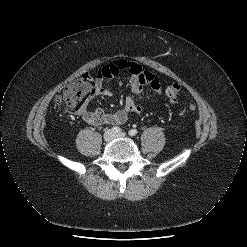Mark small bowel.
Masks as SVG:
<instances>
[{
	"mask_svg": "<svg viewBox=\"0 0 247 247\" xmlns=\"http://www.w3.org/2000/svg\"><path fill=\"white\" fill-rule=\"evenodd\" d=\"M121 71H127L130 74L129 82L132 92L125 98L124 109L114 113H106L101 108L86 111L82 115V119L86 123L93 126L122 124L128 119L129 115L141 113L142 107L136 102L135 96L142 92L145 87L151 88L157 95L163 94L164 87L160 80L146 71L140 64L133 61L116 60L105 63L100 67L95 82L96 95L110 97L112 92L103 86V80L114 77Z\"/></svg>",
	"mask_w": 247,
	"mask_h": 247,
	"instance_id": "c3829d8e",
	"label": "small bowel"
}]
</instances>
